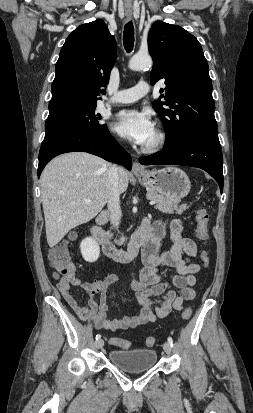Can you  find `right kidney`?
<instances>
[{"label":"right kidney","instance_id":"1","mask_svg":"<svg viewBox=\"0 0 253 413\" xmlns=\"http://www.w3.org/2000/svg\"><path fill=\"white\" fill-rule=\"evenodd\" d=\"M82 257L85 261L93 263L98 260L100 248L98 243L92 237H87L80 244Z\"/></svg>","mask_w":253,"mask_h":413}]
</instances>
